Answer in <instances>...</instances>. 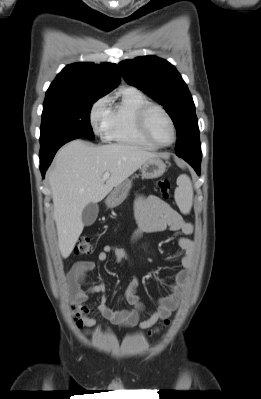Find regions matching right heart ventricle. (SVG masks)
I'll return each instance as SVG.
<instances>
[{"label": "right heart ventricle", "instance_id": "obj_1", "mask_svg": "<svg viewBox=\"0 0 261 399\" xmlns=\"http://www.w3.org/2000/svg\"><path fill=\"white\" fill-rule=\"evenodd\" d=\"M149 103L148 98L133 87L123 88L119 98L109 107V123L106 138L121 144L154 149L138 132L136 125L137 111Z\"/></svg>", "mask_w": 261, "mask_h": 399}]
</instances>
